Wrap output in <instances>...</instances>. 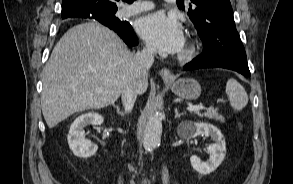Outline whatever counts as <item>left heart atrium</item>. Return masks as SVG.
I'll use <instances>...</instances> for the list:
<instances>
[{
  "label": "left heart atrium",
  "instance_id": "obj_1",
  "mask_svg": "<svg viewBox=\"0 0 293 184\" xmlns=\"http://www.w3.org/2000/svg\"><path fill=\"white\" fill-rule=\"evenodd\" d=\"M137 30L152 48L163 53L179 52L185 44L184 33L179 22L174 17L161 12L139 19Z\"/></svg>",
  "mask_w": 293,
  "mask_h": 184
}]
</instances>
